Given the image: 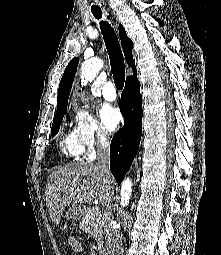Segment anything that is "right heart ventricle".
<instances>
[{
	"label": "right heart ventricle",
	"instance_id": "obj_1",
	"mask_svg": "<svg viewBox=\"0 0 221 255\" xmlns=\"http://www.w3.org/2000/svg\"><path fill=\"white\" fill-rule=\"evenodd\" d=\"M60 149L67 157H80L84 153V148L74 131H69L62 137Z\"/></svg>",
	"mask_w": 221,
	"mask_h": 255
}]
</instances>
